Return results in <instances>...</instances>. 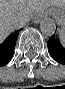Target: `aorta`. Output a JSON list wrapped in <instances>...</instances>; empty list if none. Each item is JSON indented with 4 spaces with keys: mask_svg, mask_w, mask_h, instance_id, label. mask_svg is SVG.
Masks as SVG:
<instances>
[{
    "mask_svg": "<svg viewBox=\"0 0 65 89\" xmlns=\"http://www.w3.org/2000/svg\"><path fill=\"white\" fill-rule=\"evenodd\" d=\"M40 31L43 35L50 37L56 31L55 21L49 17H45L40 22Z\"/></svg>",
    "mask_w": 65,
    "mask_h": 89,
    "instance_id": "762f6f07",
    "label": "aorta"
}]
</instances>
